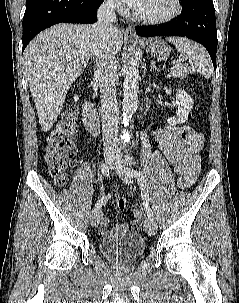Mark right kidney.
I'll return each instance as SVG.
<instances>
[{"mask_svg":"<svg viewBox=\"0 0 239 303\" xmlns=\"http://www.w3.org/2000/svg\"><path fill=\"white\" fill-rule=\"evenodd\" d=\"M74 100L77 102L79 100V97L77 95H75Z\"/></svg>","mask_w":239,"mask_h":303,"instance_id":"1","label":"right kidney"}]
</instances>
